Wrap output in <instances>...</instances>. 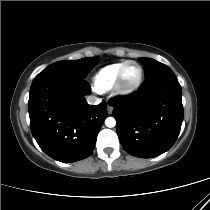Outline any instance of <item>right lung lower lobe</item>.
Here are the masks:
<instances>
[{"mask_svg":"<svg viewBox=\"0 0 210 210\" xmlns=\"http://www.w3.org/2000/svg\"><path fill=\"white\" fill-rule=\"evenodd\" d=\"M84 78L50 74L36 76L29 96L31 132L53 159L69 163L88 157L107 117L105 102L89 105Z\"/></svg>","mask_w":210,"mask_h":210,"instance_id":"obj_1","label":"right lung lower lobe"}]
</instances>
